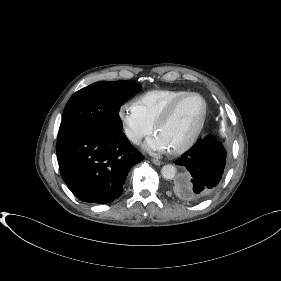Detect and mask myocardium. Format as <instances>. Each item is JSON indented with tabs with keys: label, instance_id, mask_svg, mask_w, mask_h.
Here are the masks:
<instances>
[{
	"label": "myocardium",
	"instance_id": "obj_1",
	"mask_svg": "<svg viewBox=\"0 0 281 281\" xmlns=\"http://www.w3.org/2000/svg\"><path fill=\"white\" fill-rule=\"evenodd\" d=\"M198 97L203 105V112H202V116H201V120L200 123L198 125V127L196 128L194 134L192 135V137L185 142L184 144L169 150V152L171 154H181L185 151H187L188 149H190L195 142L198 140L205 122H206V118H207V112H208V105H207V101L205 100V98L197 93V92H187L181 96H179L178 98L174 99L173 101H171L168 106L163 110V112L159 115V117L157 118L155 124H154V131L155 133H157V131L159 130V128L171 117V115L173 114L174 110L176 109V107L186 98L188 97Z\"/></svg>",
	"mask_w": 281,
	"mask_h": 281
}]
</instances>
